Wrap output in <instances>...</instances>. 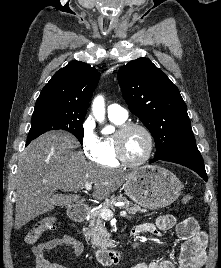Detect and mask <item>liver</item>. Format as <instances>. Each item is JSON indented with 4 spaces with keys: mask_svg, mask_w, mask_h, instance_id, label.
I'll return each instance as SVG.
<instances>
[{
    "mask_svg": "<svg viewBox=\"0 0 221 268\" xmlns=\"http://www.w3.org/2000/svg\"><path fill=\"white\" fill-rule=\"evenodd\" d=\"M74 137L65 132H47L22 152L16 173L15 229L54 209L57 190L78 191L94 184L93 197L104 199L123 185L134 172H124L87 162Z\"/></svg>",
    "mask_w": 221,
    "mask_h": 268,
    "instance_id": "1",
    "label": "liver"
}]
</instances>
